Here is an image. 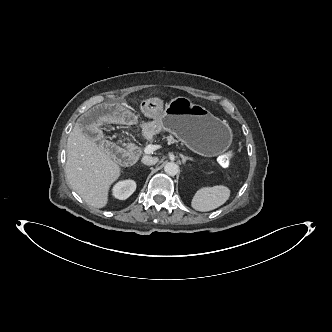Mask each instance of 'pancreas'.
I'll list each match as a JSON object with an SVG mask.
<instances>
[{
  "label": "pancreas",
  "mask_w": 332,
  "mask_h": 332,
  "mask_svg": "<svg viewBox=\"0 0 332 332\" xmlns=\"http://www.w3.org/2000/svg\"><path fill=\"white\" fill-rule=\"evenodd\" d=\"M163 140H165L167 142V144L171 145V144H176V146H180L182 147L183 144L178 142V140H176L172 135H168V136H163L162 138Z\"/></svg>",
  "instance_id": "1"
}]
</instances>
